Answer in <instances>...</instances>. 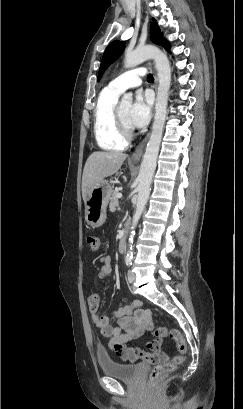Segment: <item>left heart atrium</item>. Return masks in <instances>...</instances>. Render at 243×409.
Segmentation results:
<instances>
[{"instance_id": "left-heart-atrium-1", "label": "left heart atrium", "mask_w": 243, "mask_h": 409, "mask_svg": "<svg viewBox=\"0 0 243 409\" xmlns=\"http://www.w3.org/2000/svg\"><path fill=\"white\" fill-rule=\"evenodd\" d=\"M151 117V100L148 95L139 93L130 107L128 122L130 127L142 128Z\"/></svg>"}]
</instances>
